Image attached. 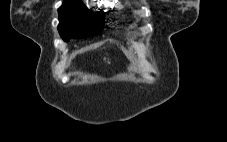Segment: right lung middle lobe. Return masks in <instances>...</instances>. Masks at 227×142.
I'll use <instances>...</instances> for the list:
<instances>
[{
    "label": "right lung middle lobe",
    "mask_w": 227,
    "mask_h": 142,
    "mask_svg": "<svg viewBox=\"0 0 227 142\" xmlns=\"http://www.w3.org/2000/svg\"><path fill=\"white\" fill-rule=\"evenodd\" d=\"M58 30L64 41L69 38H85L101 31L104 25V12L93 14L82 2L67 1L58 9Z\"/></svg>",
    "instance_id": "right-lung-middle-lobe-1"
}]
</instances>
